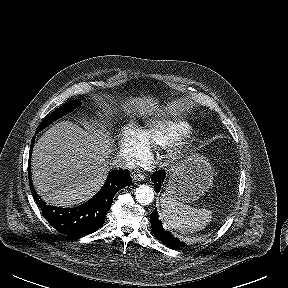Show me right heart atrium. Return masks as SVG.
I'll list each match as a JSON object with an SVG mask.
<instances>
[{
  "mask_svg": "<svg viewBox=\"0 0 288 288\" xmlns=\"http://www.w3.org/2000/svg\"><path fill=\"white\" fill-rule=\"evenodd\" d=\"M118 148L120 154L131 165L145 162L149 150L141 138L140 132L134 127L125 128L119 135Z\"/></svg>",
  "mask_w": 288,
  "mask_h": 288,
  "instance_id": "1",
  "label": "right heart atrium"
}]
</instances>
